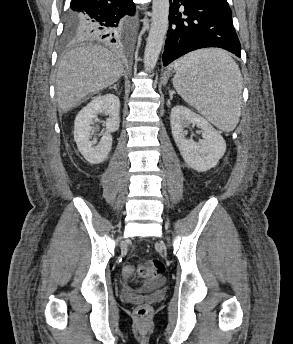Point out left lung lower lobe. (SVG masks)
Wrapping results in <instances>:
<instances>
[{
    "label": "left lung lower lobe",
    "instance_id": "0a47b994",
    "mask_svg": "<svg viewBox=\"0 0 293 344\" xmlns=\"http://www.w3.org/2000/svg\"><path fill=\"white\" fill-rule=\"evenodd\" d=\"M163 65L196 49L218 47L241 57L227 0H170ZM185 16L186 18H181Z\"/></svg>",
    "mask_w": 293,
    "mask_h": 344
}]
</instances>
